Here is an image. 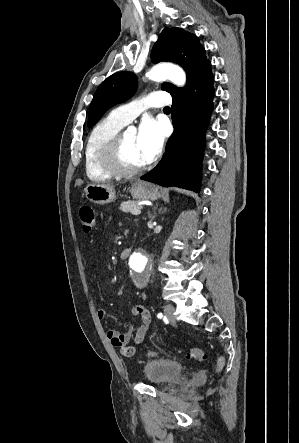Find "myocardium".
Here are the masks:
<instances>
[{
  "instance_id": "1",
  "label": "myocardium",
  "mask_w": 299,
  "mask_h": 443,
  "mask_svg": "<svg viewBox=\"0 0 299 443\" xmlns=\"http://www.w3.org/2000/svg\"><path fill=\"white\" fill-rule=\"evenodd\" d=\"M125 132H119L102 152V163L104 168L114 176H134L147 168V164L138 167H128L122 162V147Z\"/></svg>"
}]
</instances>
